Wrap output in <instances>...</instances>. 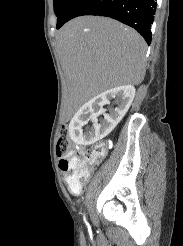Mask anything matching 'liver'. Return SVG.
<instances>
[{
    "label": "liver",
    "mask_w": 183,
    "mask_h": 246,
    "mask_svg": "<svg viewBox=\"0 0 183 246\" xmlns=\"http://www.w3.org/2000/svg\"><path fill=\"white\" fill-rule=\"evenodd\" d=\"M56 43L74 104L118 86L139 85L145 77L144 39L113 19L75 18L58 31Z\"/></svg>",
    "instance_id": "obj_1"
}]
</instances>
